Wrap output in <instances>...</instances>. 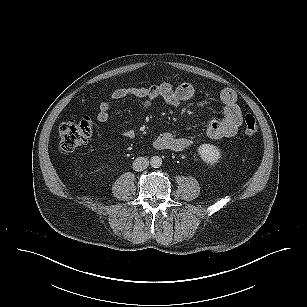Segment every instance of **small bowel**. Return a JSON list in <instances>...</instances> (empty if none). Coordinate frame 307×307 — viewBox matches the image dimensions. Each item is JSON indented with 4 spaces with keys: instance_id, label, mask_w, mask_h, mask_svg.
Listing matches in <instances>:
<instances>
[{
    "instance_id": "1",
    "label": "small bowel",
    "mask_w": 307,
    "mask_h": 307,
    "mask_svg": "<svg viewBox=\"0 0 307 307\" xmlns=\"http://www.w3.org/2000/svg\"><path fill=\"white\" fill-rule=\"evenodd\" d=\"M194 94L195 88L188 82H183L176 86L170 82H163L151 86L121 87L111 92L109 100L100 103L96 118L101 123L107 122L112 102L116 100L129 97L138 98L141 100V109L149 110L158 98H161L170 106L177 107L182 102L193 98ZM219 99L223 105L224 116L209 122L207 136L211 139L233 137L242 123V113L237 103L235 92L231 89H224L220 92ZM122 136L126 139H132L134 132L127 129L122 132ZM191 145V139L175 136L171 133H162L154 140L155 148L160 150L183 151Z\"/></svg>"
}]
</instances>
